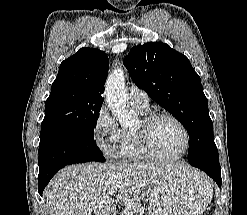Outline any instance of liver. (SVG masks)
Segmentation results:
<instances>
[{"label":"liver","mask_w":247,"mask_h":215,"mask_svg":"<svg viewBox=\"0 0 247 215\" xmlns=\"http://www.w3.org/2000/svg\"><path fill=\"white\" fill-rule=\"evenodd\" d=\"M183 168L182 164L126 162L68 166L44 191L46 207L50 215H111L116 206L110 189L117 193L118 202L130 206Z\"/></svg>","instance_id":"6515ba94"}]
</instances>
